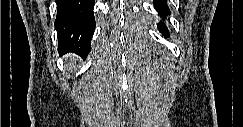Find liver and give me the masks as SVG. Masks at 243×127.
Wrapping results in <instances>:
<instances>
[{
  "instance_id": "obj_1",
  "label": "liver",
  "mask_w": 243,
  "mask_h": 127,
  "mask_svg": "<svg viewBox=\"0 0 243 127\" xmlns=\"http://www.w3.org/2000/svg\"><path fill=\"white\" fill-rule=\"evenodd\" d=\"M69 57H71V56H67L66 59H68Z\"/></svg>"
}]
</instances>
